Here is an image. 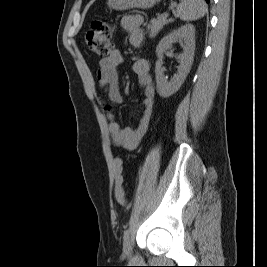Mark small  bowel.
<instances>
[{
	"label": "small bowel",
	"instance_id": "c3829d8e",
	"mask_svg": "<svg viewBox=\"0 0 267 267\" xmlns=\"http://www.w3.org/2000/svg\"><path fill=\"white\" fill-rule=\"evenodd\" d=\"M143 17L139 14L128 15L121 20L122 27L129 33V42L132 46L139 48L144 41L142 30ZM123 56L119 50L100 60L97 72V80L107 93L110 103H103V109L109 121V132L111 142L115 148L134 150L140 144L145 135L154 107V87L150 74V66L146 59H137L132 66L133 72L137 76L140 87L144 90L143 110L136 128L121 127L115 121L113 105L123 101L119 89L117 68L121 64Z\"/></svg>",
	"mask_w": 267,
	"mask_h": 267
}]
</instances>
